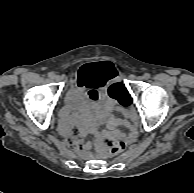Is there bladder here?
I'll return each instance as SVG.
<instances>
[{
    "label": "bladder",
    "instance_id": "1",
    "mask_svg": "<svg viewBox=\"0 0 194 193\" xmlns=\"http://www.w3.org/2000/svg\"><path fill=\"white\" fill-rule=\"evenodd\" d=\"M81 98H82V95L80 94L78 89H74L71 92V95L69 97L70 101L73 102V103H77L78 101L81 100Z\"/></svg>",
    "mask_w": 194,
    "mask_h": 193
}]
</instances>
